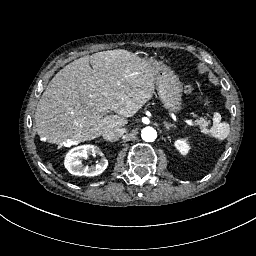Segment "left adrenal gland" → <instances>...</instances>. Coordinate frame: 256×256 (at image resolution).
Segmentation results:
<instances>
[{"instance_id": "1", "label": "left adrenal gland", "mask_w": 256, "mask_h": 256, "mask_svg": "<svg viewBox=\"0 0 256 256\" xmlns=\"http://www.w3.org/2000/svg\"><path fill=\"white\" fill-rule=\"evenodd\" d=\"M173 126H175L174 124H171V123H168V122H165V127H166V129H170V127H173Z\"/></svg>"}]
</instances>
